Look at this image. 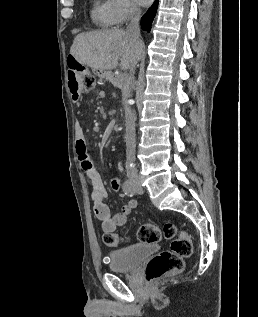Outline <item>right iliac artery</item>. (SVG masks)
I'll list each match as a JSON object with an SVG mask.
<instances>
[{"mask_svg":"<svg viewBox=\"0 0 258 317\" xmlns=\"http://www.w3.org/2000/svg\"><path fill=\"white\" fill-rule=\"evenodd\" d=\"M123 191L127 196H133L135 194L134 187L132 186L131 182L129 180H126L123 183Z\"/></svg>","mask_w":258,"mask_h":317,"instance_id":"right-iliac-artery-1","label":"right iliac artery"}]
</instances>
